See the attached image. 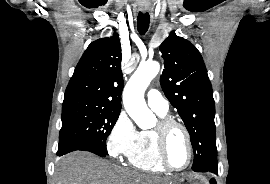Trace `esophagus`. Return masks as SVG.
I'll return each mask as SVG.
<instances>
[{"instance_id":"esophagus-1","label":"esophagus","mask_w":270,"mask_h":184,"mask_svg":"<svg viewBox=\"0 0 270 184\" xmlns=\"http://www.w3.org/2000/svg\"><path fill=\"white\" fill-rule=\"evenodd\" d=\"M141 10H142L143 12H146V11H147V9H146V8H142Z\"/></svg>"}]
</instances>
